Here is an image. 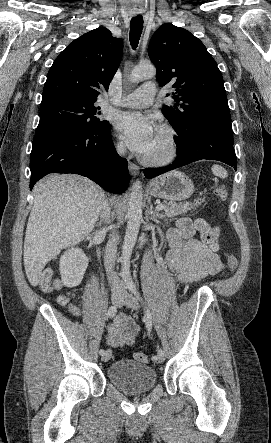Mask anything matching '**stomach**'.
<instances>
[{"label":"stomach","mask_w":271,"mask_h":443,"mask_svg":"<svg viewBox=\"0 0 271 443\" xmlns=\"http://www.w3.org/2000/svg\"><path fill=\"white\" fill-rule=\"evenodd\" d=\"M149 192L155 198H163L169 202H180L187 200L194 192L193 182L182 172H168L161 178L153 180Z\"/></svg>","instance_id":"obj_1"}]
</instances>
